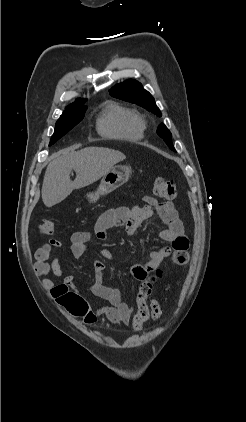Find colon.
Segmentation results:
<instances>
[{"label": "colon", "instance_id": "1", "mask_svg": "<svg viewBox=\"0 0 246 422\" xmlns=\"http://www.w3.org/2000/svg\"><path fill=\"white\" fill-rule=\"evenodd\" d=\"M154 191L159 197L172 200L177 197L178 189L176 184L161 177L154 181ZM40 231L44 234H53L55 232V224L51 220H43L40 224ZM172 263L175 265H184L188 261V253L183 250H176L172 253ZM161 276L160 271H156L149 277L141 279V284L136 297L137 312L133 317V328L141 330L149 319L158 320L162 316V309L158 301L151 297L153 284L158 277Z\"/></svg>", "mask_w": 246, "mask_h": 422}]
</instances>
